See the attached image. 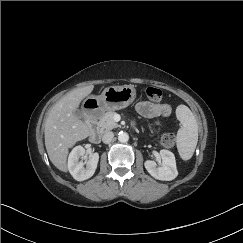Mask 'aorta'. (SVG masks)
I'll use <instances>...</instances> for the list:
<instances>
[{"instance_id": "aorta-1", "label": "aorta", "mask_w": 243, "mask_h": 243, "mask_svg": "<svg viewBox=\"0 0 243 243\" xmlns=\"http://www.w3.org/2000/svg\"><path fill=\"white\" fill-rule=\"evenodd\" d=\"M118 140L121 143H126L129 140V135L126 132L121 131L118 134Z\"/></svg>"}]
</instances>
